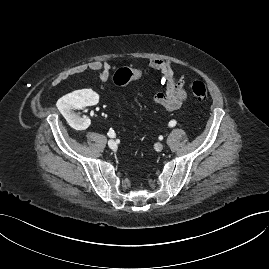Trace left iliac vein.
I'll return each instance as SVG.
<instances>
[{"label":"left iliac vein","instance_id":"obj_1","mask_svg":"<svg viewBox=\"0 0 269 269\" xmlns=\"http://www.w3.org/2000/svg\"><path fill=\"white\" fill-rule=\"evenodd\" d=\"M156 149H157V151H162V150H163V145L160 144V143H158V144L156 145Z\"/></svg>","mask_w":269,"mask_h":269}]
</instances>
